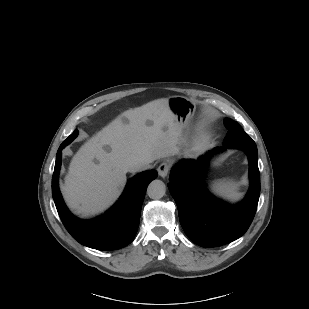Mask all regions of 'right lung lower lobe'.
Returning <instances> with one entry per match:
<instances>
[{
  "label": "right lung lower lobe",
  "instance_id": "98d812e1",
  "mask_svg": "<svg viewBox=\"0 0 309 309\" xmlns=\"http://www.w3.org/2000/svg\"><path fill=\"white\" fill-rule=\"evenodd\" d=\"M65 146L66 144L62 143L57 152L52 177V195L67 231L79 243L93 249L116 250L127 246L133 241L139 226L146 186L157 177V171L150 170L136 175L109 211L93 220L83 221L70 213L59 190L61 151Z\"/></svg>",
  "mask_w": 309,
  "mask_h": 309
}]
</instances>
